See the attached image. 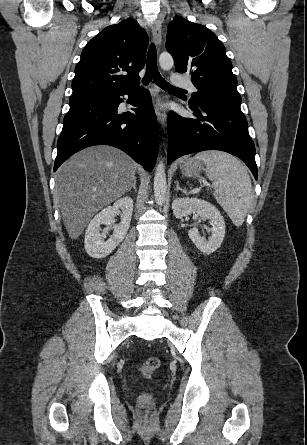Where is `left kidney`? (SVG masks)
Instances as JSON below:
<instances>
[{"label":"left kidney","instance_id":"5707ae66","mask_svg":"<svg viewBox=\"0 0 307 445\" xmlns=\"http://www.w3.org/2000/svg\"><path fill=\"white\" fill-rule=\"evenodd\" d=\"M172 208L176 218L188 216L191 212H196L202 218H209V223L212 225V235H210L208 241L204 237H200L198 229H190L188 233L189 239L193 241L203 255H211L221 247L225 237V223L220 210L214 204L207 202V200H201V198H175L172 202Z\"/></svg>","mask_w":307,"mask_h":445}]
</instances>
